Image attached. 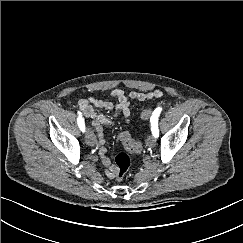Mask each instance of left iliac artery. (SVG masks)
Returning <instances> with one entry per match:
<instances>
[{"label": "left iliac artery", "instance_id": "1", "mask_svg": "<svg viewBox=\"0 0 243 243\" xmlns=\"http://www.w3.org/2000/svg\"><path fill=\"white\" fill-rule=\"evenodd\" d=\"M162 108H157L155 109V111L153 112V115L150 119L151 122V131L152 134L155 138H157L159 136V129H158V118L161 114Z\"/></svg>", "mask_w": 243, "mask_h": 243}]
</instances>
